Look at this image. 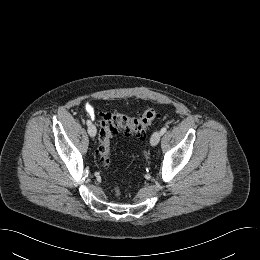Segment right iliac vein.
I'll return each instance as SVG.
<instances>
[{"instance_id": "1", "label": "right iliac vein", "mask_w": 260, "mask_h": 260, "mask_svg": "<svg viewBox=\"0 0 260 260\" xmlns=\"http://www.w3.org/2000/svg\"><path fill=\"white\" fill-rule=\"evenodd\" d=\"M96 127L93 124H90L88 126V133L91 137H94L96 135Z\"/></svg>"}]
</instances>
